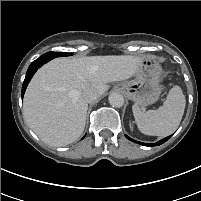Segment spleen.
<instances>
[{
	"label": "spleen",
	"instance_id": "1",
	"mask_svg": "<svg viewBox=\"0 0 201 201\" xmlns=\"http://www.w3.org/2000/svg\"><path fill=\"white\" fill-rule=\"evenodd\" d=\"M185 105V96L181 88L174 86L170 89L163 105L157 110L143 112L137 105H133L132 111L140 132L146 135L165 137L178 128Z\"/></svg>",
	"mask_w": 201,
	"mask_h": 201
}]
</instances>
